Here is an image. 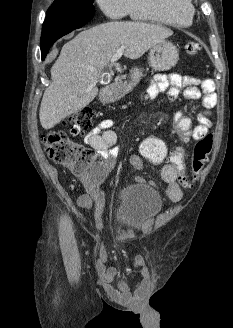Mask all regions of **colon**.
I'll return each instance as SVG.
<instances>
[{
	"label": "colon",
	"mask_w": 233,
	"mask_h": 328,
	"mask_svg": "<svg viewBox=\"0 0 233 328\" xmlns=\"http://www.w3.org/2000/svg\"><path fill=\"white\" fill-rule=\"evenodd\" d=\"M188 55H196L200 45L189 42L185 46ZM94 113L91 108H83L69 117L71 133L78 134L91 127ZM173 125L183 141L192 137L191 120L182 113H176L173 117ZM43 148L48 157L56 164L62 165L81 177L84 181H91L101 177L102 164L97 160L94 151L88 147L72 141L66 132L51 129L42 138ZM213 146L211 134L197 140L190 163L192 179L188 178L185 153L182 148H176L169 156L165 143L156 137L146 138L140 146L141 154L150 162L159 164L168 160L179 174V182L185 189L193 186L202 169L209 162Z\"/></svg>",
	"instance_id": "colon-1"
}]
</instances>
